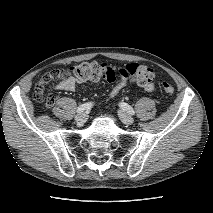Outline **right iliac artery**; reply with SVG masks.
<instances>
[{"mask_svg":"<svg viewBox=\"0 0 213 213\" xmlns=\"http://www.w3.org/2000/svg\"><path fill=\"white\" fill-rule=\"evenodd\" d=\"M92 103L89 102V103H84L82 105H80L78 108H77V112L80 113V112H83L84 110H87V109H90L92 107Z\"/></svg>","mask_w":213,"mask_h":213,"instance_id":"obj_1","label":"right iliac artery"}]
</instances>
